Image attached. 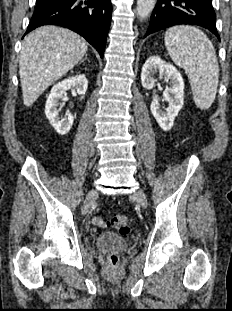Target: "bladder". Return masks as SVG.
Here are the masks:
<instances>
[{"instance_id":"1","label":"bladder","mask_w":232,"mask_h":311,"mask_svg":"<svg viewBox=\"0 0 232 311\" xmlns=\"http://www.w3.org/2000/svg\"><path fill=\"white\" fill-rule=\"evenodd\" d=\"M95 244L100 250L123 251L128 247L127 239L120 234L106 231L97 235Z\"/></svg>"}]
</instances>
